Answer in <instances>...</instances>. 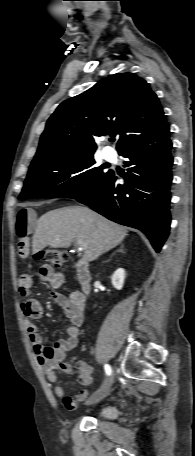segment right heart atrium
<instances>
[{
  "label": "right heart atrium",
  "instance_id": "obj_1",
  "mask_svg": "<svg viewBox=\"0 0 195 456\" xmlns=\"http://www.w3.org/2000/svg\"><path fill=\"white\" fill-rule=\"evenodd\" d=\"M80 174H81V172L79 170H77L75 168H71L66 172L65 176L68 180H73V179L77 178Z\"/></svg>",
  "mask_w": 195,
  "mask_h": 456
}]
</instances>
